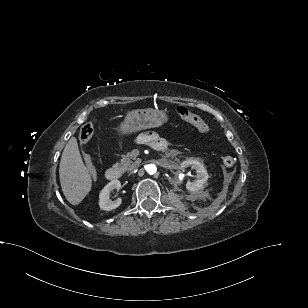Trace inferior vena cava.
Returning a JSON list of instances; mask_svg holds the SVG:
<instances>
[{"label":"inferior vena cava","mask_w":308,"mask_h":308,"mask_svg":"<svg viewBox=\"0 0 308 308\" xmlns=\"http://www.w3.org/2000/svg\"><path fill=\"white\" fill-rule=\"evenodd\" d=\"M128 173H129V175H134V173H135V170H134V168H129V170H128Z\"/></svg>","instance_id":"602c4592"}]
</instances>
